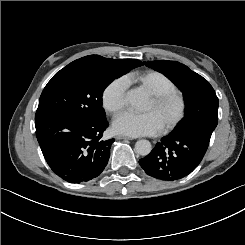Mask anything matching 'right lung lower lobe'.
<instances>
[{
	"mask_svg": "<svg viewBox=\"0 0 245 245\" xmlns=\"http://www.w3.org/2000/svg\"><path fill=\"white\" fill-rule=\"evenodd\" d=\"M36 136L52 171L69 183L98 177L108 163L114 139L101 140L106 119L53 116L35 120Z\"/></svg>",
	"mask_w": 245,
	"mask_h": 245,
	"instance_id": "98d812e1",
	"label": "right lung lower lobe"
}]
</instances>
